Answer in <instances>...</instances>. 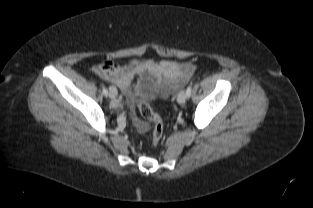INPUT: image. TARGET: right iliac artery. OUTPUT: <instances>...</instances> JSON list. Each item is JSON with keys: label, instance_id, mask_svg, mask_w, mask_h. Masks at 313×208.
<instances>
[{"label": "right iliac artery", "instance_id": "1", "mask_svg": "<svg viewBox=\"0 0 313 208\" xmlns=\"http://www.w3.org/2000/svg\"><path fill=\"white\" fill-rule=\"evenodd\" d=\"M103 94H104L105 96H107V94H108V90H107L105 87H103Z\"/></svg>", "mask_w": 313, "mask_h": 208}]
</instances>
